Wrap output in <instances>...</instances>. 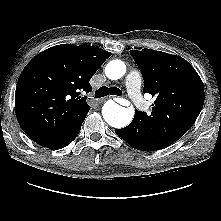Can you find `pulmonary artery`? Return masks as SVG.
<instances>
[{
	"mask_svg": "<svg viewBox=\"0 0 221 221\" xmlns=\"http://www.w3.org/2000/svg\"><path fill=\"white\" fill-rule=\"evenodd\" d=\"M141 82V75L136 70L129 72L126 77V87L131 100L136 107L142 111H145L149 108V103L143 99L140 93Z\"/></svg>",
	"mask_w": 221,
	"mask_h": 221,
	"instance_id": "pulmonary-artery-1",
	"label": "pulmonary artery"
}]
</instances>
